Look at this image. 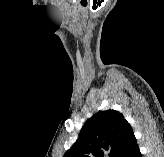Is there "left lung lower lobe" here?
I'll use <instances>...</instances> for the list:
<instances>
[{
    "label": "left lung lower lobe",
    "instance_id": "0a47b994",
    "mask_svg": "<svg viewBox=\"0 0 164 157\" xmlns=\"http://www.w3.org/2000/svg\"><path fill=\"white\" fill-rule=\"evenodd\" d=\"M117 157H142L134 135L127 141L124 147L120 150Z\"/></svg>",
    "mask_w": 164,
    "mask_h": 157
}]
</instances>
